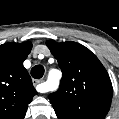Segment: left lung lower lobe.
Here are the masks:
<instances>
[{
    "instance_id": "0a47b994",
    "label": "left lung lower lobe",
    "mask_w": 119,
    "mask_h": 119,
    "mask_svg": "<svg viewBox=\"0 0 119 119\" xmlns=\"http://www.w3.org/2000/svg\"><path fill=\"white\" fill-rule=\"evenodd\" d=\"M66 119H75V118H66Z\"/></svg>"
}]
</instances>
